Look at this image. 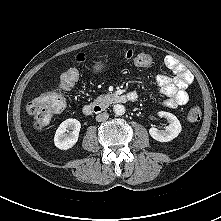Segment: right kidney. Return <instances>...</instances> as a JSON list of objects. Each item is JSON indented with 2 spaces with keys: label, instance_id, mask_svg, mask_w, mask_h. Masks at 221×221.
<instances>
[{
  "label": "right kidney",
  "instance_id": "1",
  "mask_svg": "<svg viewBox=\"0 0 221 221\" xmlns=\"http://www.w3.org/2000/svg\"><path fill=\"white\" fill-rule=\"evenodd\" d=\"M81 124L76 119H67L63 121L58 129L56 130L55 137H54V144L57 148L61 150H68L72 148L76 142L78 141V135L80 132ZM72 130L70 134L69 132Z\"/></svg>",
  "mask_w": 221,
  "mask_h": 221
}]
</instances>
